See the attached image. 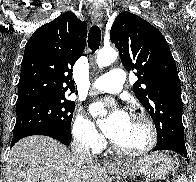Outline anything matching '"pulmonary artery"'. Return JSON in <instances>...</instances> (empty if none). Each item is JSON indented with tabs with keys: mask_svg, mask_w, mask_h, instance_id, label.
I'll return each instance as SVG.
<instances>
[{
	"mask_svg": "<svg viewBox=\"0 0 196 182\" xmlns=\"http://www.w3.org/2000/svg\"><path fill=\"white\" fill-rule=\"evenodd\" d=\"M124 81V73L118 68H113L105 75L98 78L94 82L93 88L102 92L118 93L122 90Z\"/></svg>",
	"mask_w": 196,
	"mask_h": 182,
	"instance_id": "pulmonary-artery-1",
	"label": "pulmonary artery"
}]
</instances>
